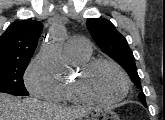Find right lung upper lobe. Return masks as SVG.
Returning a JSON list of instances; mask_svg holds the SVG:
<instances>
[{
  "mask_svg": "<svg viewBox=\"0 0 165 120\" xmlns=\"http://www.w3.org/2000/svg\"><path fill=\"white\" fill-rule=\"evenodd\" d=\"M42 29L39 21L13 22L0 36V60L31 59Z\"/></svg>",
  "mask_w": 165,
  "mask_h": 120,
  "instance_id": "1",
  "label": "right lung upper lobe"
}]
</instances>
